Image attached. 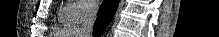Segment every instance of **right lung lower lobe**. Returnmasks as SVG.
I'll return each instance as SVG.
<instances>
[{
	"label": "right lung lower lobe",
	"instance_id": "1",
	"mask_svg": "<svg viewBox=\"0 0 219 37\" xmlns=\"http://www.w3.org/2000/svg\"><path fill=\"white\" fill-rule=\"evenodd\" d=\"M119 0H105L103 1L96 22L93 28L94 37H100L105 30V28L110 23L116 8L118 6Z\"/></svg>",
	"mask_w": 219,
	"mask_h": 37
}]
</instances>
